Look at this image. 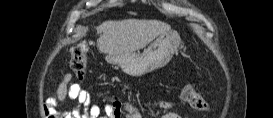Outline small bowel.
<instances>
[{
    "instance_id": "c3829d8e",
    "label": "small bowel",
    "mask_w": 273,
    "mask_h": 118,
    "mask_svg": "<svg viewBox=\"0 0 273 118\" xmlns=\"http://www.w3.org/2000/svg\"><path fill=\"white\" fill-rule=\"evenodd\" d=\"M181 96L185 102L189 103L193 107L186 93H182ZM69 98L76 101V106L72 111L62 113L61 117L101 118L103 112H105L108 118L121 117L122 111L115 103V101H117L116 98L105 102L103 105L92 103L90 94L78 84L71 86L69 90ZM144 104L148 106H158L166 110H170L175 107V104L172 101L161 98H150L146 100ZM127 118H140V113L138 111H134L133 113L127 115ZM164 118H182V116L175 112H169L164 116Z\"/></svg>"
}]
</instances>
